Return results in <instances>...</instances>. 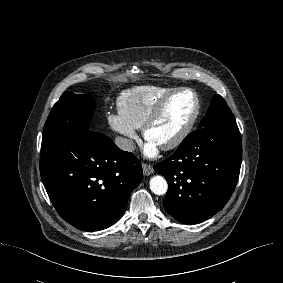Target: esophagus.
Wrapping results in <instances>:
<instances>
[{
	"label": "esophagus",
	"mask_w": 283,
	"mask_h": 283,
	"mask_svg": "<svg viewBox=\"0 0 283 283\" xmlns=\"http://www.w3.org/2000/svg\"><path fill=\"white\" fill-rule=\"evenodd\" d=\"M142 169L145 176H149L154 172V169L150 164L142 163Z\"/></svg>",
	"instance_id": "1"
}]
</instances>
